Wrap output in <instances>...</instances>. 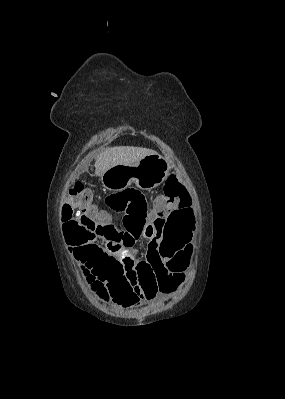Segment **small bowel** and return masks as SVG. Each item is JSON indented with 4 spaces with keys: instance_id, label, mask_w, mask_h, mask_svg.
Wrapping results in <instances>:
<instances>
[{
    "instance_id": "c3829d8e",
    "label": "small bowel",
    "mask_w": 285,
    "mask_h": 399,
    "mask_svg": "<svg viewBox=\"0 0 285 399\" xmlns=\"http://www.w3.org/2000/svg\"><path fill=\"white\" fill-rule=\"evenodd\" d=\"M149 218H150V223L146 225L144 229V237L149 240L151 244V249H155L158 245L159 242L163 239L161 235H159L158 230H157V225L160 222H164L165 219L162 217L158 209H152L149 213ZM195 219L191 218L189 221H187L184 224L174 226L171 229V235L176 236V235H185L188 239V241L185 243L183 247V255L187 263L190 262V260L193 257V251H194V243H193V227H194ZM69 251H73L72 247H69ZM103 269L105 272H111L114 273L117 276V281L118 282H129L132 280L133 277H135V271L134 268H130L127 265H123L122 271L118 269V262L116 260H112L110 258H107L103 262ZM186 275L183 272H178L174 273L172 275H169L165 279H163L159 283V291L157 294H160L161 296H171L174 295L177 290L183 285L185 282ZM103 292V293H102ZM156 294V295H157ZM93 295L98 298L102 302L106 303H114L116 305L122 306V307H137L141 305L142 301H147V300H152L155 296L152 298H146L145 294L142 293V298L136 302L133 305L130 306H125L122 303L118 302L113 295L109 293L107 289H100L99 291H94Z\"/></svg>"
}]
</instances>
